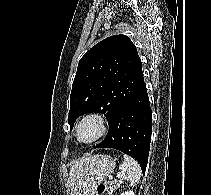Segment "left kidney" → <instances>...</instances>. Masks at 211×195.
Listing matches in <instances>:
<instances>
[{
    "label": "left kidney",
    "mask_w": 211,
    "mask_h": 195,
    "mask_svg": "<svg viewBox=\"0 0 211 195\" xmlns=\"http://www.w3.org/2000/svg\"><path fill=\"white\" fill-rule=\"evenodd\" d=\"M121 195H135L133 191H126L124 193H122Z\"/></svg>",
    "instance_id": "left-kidney-1"
}]
</instances>
